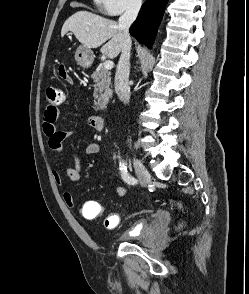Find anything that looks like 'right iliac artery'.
<instances>
[{
  "instance_id": "1",
  "label": "right iliac artery",
  "mask_w": 249,
  "mask_h": 294,
  "mask_svg": "<svg viewBox=\"0 0 249 294\" xmlns=\"http://www.w3.org/2000/svg\"><path fill=\"white\" fill-rule=\"evenodd\" d=\"M119 169L121 171V176H122L123 180L127 184L135 185V184L138 183V180L128 173L127 166H126V163L124 161H121L119 163Z\"/></svg>"
}]
</instances>
